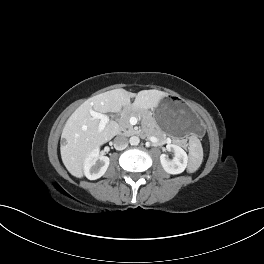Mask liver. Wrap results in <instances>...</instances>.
<instances>
[{
  "mask_svg": "<svg viewBox=\"0 0 264 264\" xmlns=\"http://www.w3.org/2000/svg\"><path fill=\"white\" fill-rule=\"evenodd\" d=\"M167 94L158 90H143L137 94L124 89H114L96 95L81 104L68 118L61 138L60 152L66 169L75 177H83V164L87 155L94 149L111 140L119 132V125L109 121L104 130L99 132V119H94L91 111L99 113L119 112L122 107L130 106V99L135 97L132 104L134 109L147 110L158 106L160 100Z\"/></svg>",
  "mask_w": 264,
  "mask_h": 264,
  "instance_id": "obj_1",
  "label": "liver"
}]
</instances>
